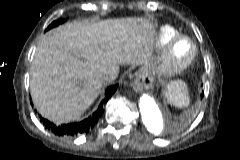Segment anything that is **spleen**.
<instances>
[{
    "label": "spleen",
    "instance_id": "obj_1",
    "mask_svg": "<svg viewBox=\"0 0 240 160\" xmlns=\"http://www.w3.org/2000/svg\"><path fill=\"white\" fill-rule=\"evenodd\" d=\"M167 98L176 107L189 105L187 86L183 81H173L167 87Z\"/></svg>",
    "mask_w": 240,
    "mask_h": 160
}]
</instances>
